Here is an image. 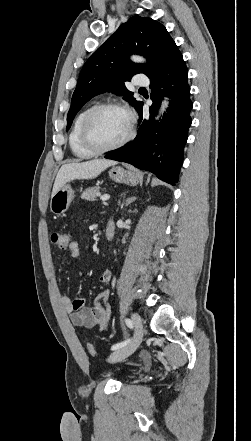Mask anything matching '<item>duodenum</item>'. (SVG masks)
Instances as JSON below:
<instances>
[{
	"instance_id": "obj_1",
	"label": "duodenum",
	"mask_w": 251,
	"mask_h": 441,
	"mask_svg": "<svg viewBox=\"0 0 251 441\" xmlns=\"http://www.w3.org/2000/svg\"><path fill=\"white\" fill-rule=\"evenodd\" d=\"M114 234H115V224L112 220H108L104 230V236L106 240L108 241L112 240Z\"/></svg>"
}]
</instances>
